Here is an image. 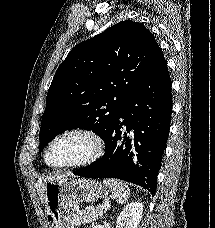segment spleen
Listing matches in <instances>:
<instances>
[{"mask_svg":"<svg viewBox=\"0 0 215 228\" xmlns=\"http://www.w3.org/2000/svg\"><path fill=\"white\" fill-rule=\"evenodd\" d=\"M105 186L111 190V194L119 204H126L130 196V190L124 182L120 180H103Z\"/></svg>","mask_w":215,"mask_h":228,"instance_id":"3e777b00","label":"spleen"}]
</instances>
